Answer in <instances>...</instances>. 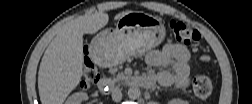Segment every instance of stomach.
<instances>
[{
  "label": "stomach",
  "instance_id": "0dacf381",
  "mask_svg": "<svg viewBox=\"0 0 252 104\" xmlns=\"http://www.w3.org/2000/svg\"><path fill=\"white\" fill-rule=\"evenodd\" d=\"M165 37L159 17L131 11L121 17L116 28L101 31L92 42V52L107 66H115L131 56H140L158 46Z\"/></svg>",
  "mask_w": 252,
  "mask_h": 104
}]
</instances>
